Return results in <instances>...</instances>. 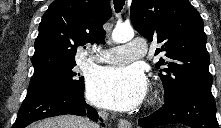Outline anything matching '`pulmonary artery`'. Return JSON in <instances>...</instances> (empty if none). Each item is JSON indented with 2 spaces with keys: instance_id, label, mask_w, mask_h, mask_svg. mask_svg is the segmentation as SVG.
I'll list each match as a JSON object with an SVG mask.
<instances>
[{
  "instance_id": "1",
  "label": "pulmonary artery",
  "mask_w": 221,
  "mask_h": 128,
  "mask_svg": "<svg viewBox=\"0 0 221 128\" xmlns=\"http://www.w3.org/2000/svg\"><path fill=\"white\" fill-rule=\"evenodd\" d=\"M147 49L144 40L126 41L123 45L103 50L93 59L99 63L124 64L142 56Z\"/></svg>"
}]
</instances>
